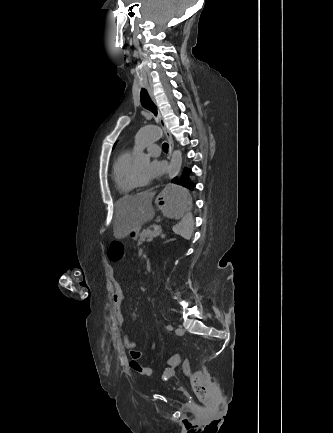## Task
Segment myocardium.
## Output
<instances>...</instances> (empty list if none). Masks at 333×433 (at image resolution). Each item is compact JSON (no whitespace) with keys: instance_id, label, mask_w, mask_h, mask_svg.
I'll list each match as a JSON object with an SVG mask.
<instances>
[{"instance_id":"myocardium-1","label":"myocardium","mask_w":333,"mask_h":433,"mask_svg":"<svg viewBox=\"0 0 333 433\" xmlns=\"http://www.w3.org/2000/svg\"><path fill=\"white\" fill-rule=\"evenodd\" d=\"M127 181L132 186V188H142L147 185V183H139L135 177L134 164L131 163L128 173H127Z\"/></svg>"}]
</instances>
